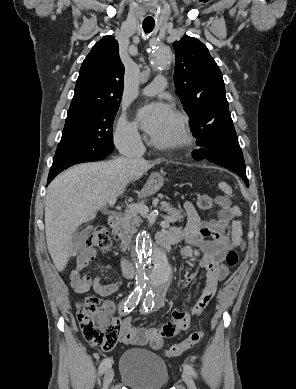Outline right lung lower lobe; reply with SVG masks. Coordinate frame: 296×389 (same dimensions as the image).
Masks as SVG:
<instances>
[{
	"label": "right lung lower lobe",
	"mask_w": 296,
	"mask_h": 389,
	"mask_svg": "<svg viewBox=\"0 0 296 389\" xmlns=\"http://www.w3.org/2000/svg\"><path fill=\"white\" fill-rule=\"evenodd\" d=\"M64 169H59V168H51L50 169V172H49V176H48V181H47V184H49L53 178L59 174L61 171H63Z\"/></svg>",
	"instance_id": "right-lung-lower-lobe-1"
}]
</instances>
